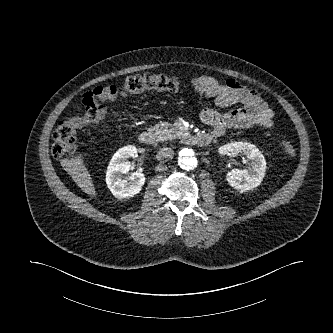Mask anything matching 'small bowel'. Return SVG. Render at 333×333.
Listing matches in <instances>:
<instances>
[{
  "label": "small bowel",
  "mask_w": 333,
  "mask_h": 333,
  "mask_svg": "<svg viewBox=\"0 0 333 333\" xmlns=\"http://www.w3.org/2000/svg\"><path fill=\"white\" fill-rule=\"evenodd\" d=\"M196 94H205L215 99L218 107L224 108L240 103L242 107L220 112L206 108L200 113L201 121L212 127L211 135L219 137L227 128H269L272 125L273 111L264 99L253 89L236 79L219 82L215 78L201 75L191 80Z\"/></svg>",
  "instance_id": "c3829d8e"
}]
</instances>
